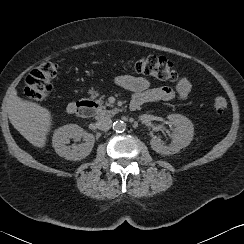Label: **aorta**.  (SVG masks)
<instances>
[{"label": "aorta", "instance_id": "aorta-1", "mask_svg": "<svg viewBox=\"0 0 244 244\" xmlns=\"http://www.w3.org/2000/svg\"><path fill=\"white\" fill-rule=\"evenodd\" d=\"M113 129H114L116 132H123V131H125V129H126V124H125L123 121H121V120L116 121V122H114V124H113Z\"/></svg>", "mask_w": 244, "mask_h": 244}]
</instances>
